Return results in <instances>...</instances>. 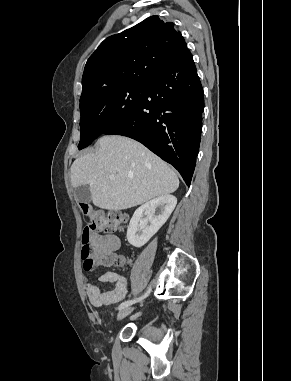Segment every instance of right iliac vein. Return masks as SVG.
I'll return each instance as SVG.
<instances>
[{"label":"right iliac vein","mask_w":291,"mask_h":381,"mask_svg":"<svg viewBox=\"0 0 291 381\" xmlns=\"http://www.w3.org/2000/svg\"><path fill=\"white\" fill-rule=\"evenodd\" d=\"M134 310V307H126L121 309L117 314V320H122L126 316H128L132 311Z\"/></svg>","instance_id":"63e3f726"}]
</instances>
